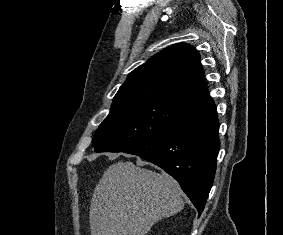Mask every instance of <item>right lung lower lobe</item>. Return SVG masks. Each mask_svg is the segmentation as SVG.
<instances>
[{"label":"right lung lower lobe","mask_w":283,"mask_h":235,"mask_svg":"<svg viewBox=\"0 0 283 235\" xmlns=\"http://www.w3.org/2000/svg\"><path fill=\"white\" fill-rule=\"evenodd\" d=\"M216 105L209 94L187 104L163 133L125 153L140 156L174 177L201 215L220 147Z\"/></svg>","instance_id":"obj_1"}]
</instances>
